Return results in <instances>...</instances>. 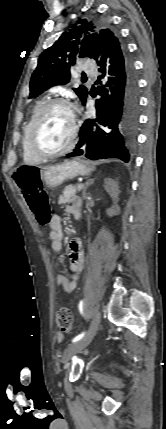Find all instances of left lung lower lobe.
<instances>
[{
    "instance_id": "left-lung-lower-lobe-1",
    "label": "left lung lower lobe",
    "mask_w": 166,
    "mask_h": 429,
    "mask_svg": "<svg viewBox=\"0 0 166 429\" xmlns=\"http://www.w3.org/2000/svg\"><path fill=\"white\" fill-rule=\"evenodd\" d=\"M106 84L99 86L96 114L80 128V140L68 156L92 160L118 158L128 162L136 144L139 89L133 62L120 39L99 42L96 58ZM86 100L83 102L85 105Z\"/></svg>"
}]
</instances>
